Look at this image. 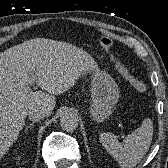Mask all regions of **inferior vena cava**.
<instances>
[{
    "label": "inferior vena cava",
    "instance_id": "obj_1",
    "mask_svg": "<svg viewBox=\"0 0 168 168\" xmlns=\"http://www.w3.org/2000/svg\"><path fill=\"white\" fill-rule=\"evenodd\" d=\"M27 115L29 116V119L32 120L33 122L39 121L44 117H46V114L43 110H39L36 108L29 110Z\"/></svg>",
    "mask_w": 168,
    "mask_h": 168
}]
</instances>
